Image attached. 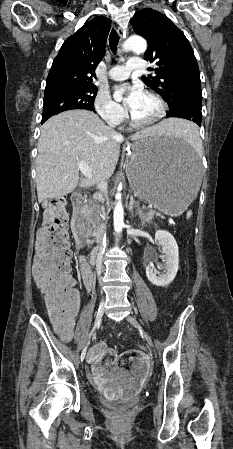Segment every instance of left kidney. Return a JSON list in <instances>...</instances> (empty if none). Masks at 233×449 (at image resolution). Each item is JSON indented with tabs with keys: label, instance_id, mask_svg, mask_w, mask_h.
<instances>
[{
	"label": "left kidney",
	"instance_id": "left-kidney-1",
	"mask_svg": "<svg viewBox=\"0 0 233 449\" xmlns=\"http://www.w3.org/2000/svg\"><path fill=\"white\" fill-rule=\"evenodd\" d=\"M155 240L162 249L164 254L165 264L162 273L156 272L150 266L146 267V276L148 280L159 287L169 285L175 278L178 271L179 264V250L174 236L165 231L157 230L155 233Z\"/></svg>",
	"mask_w": 233,
	"mask_h": 449
}]
</instances>
